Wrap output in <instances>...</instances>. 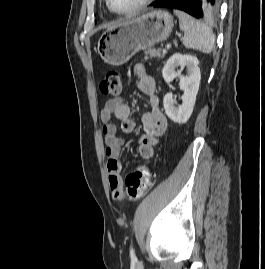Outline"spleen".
<instances>
[{
  "label": "spleen",
  "instance_id": "1",
  "mask_svg": "<svg viewBox=\"0 0 265 269\" xmlns=\"http://www.w3.org/2000/svg\"><path fill=\"white\" fill-rule=\"evenodd\" d=\"M173 12L179 18V27L184 32V46L188 49L210 53L215 42L212 30L183 11L175 9Z\"/></svg>",
  "mask_w": 265,
  "mask_h": 269
}]
</instances>
